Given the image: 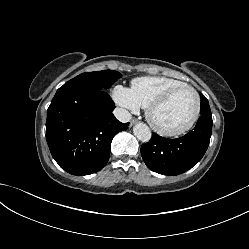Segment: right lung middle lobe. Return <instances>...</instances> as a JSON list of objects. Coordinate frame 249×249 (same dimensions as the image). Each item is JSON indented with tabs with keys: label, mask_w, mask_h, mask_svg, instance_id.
Masks as SVG:
<instances>
[{
	"label": "right lung middle lobe",
	"mask_w": 249,
	"mask_h": 249,
	"mask_svg": "<svg viewBox=\"0 0 249 249\" xmlns=\"http://www.w3.org/2000/svg\"><path fill=\"white\" fill-rule=\"evenodd\" d=\"M121 78V74L113 70H104L98 72L82 73L70 80V82H83L97 86L101 90L110 88L117 79Z\"/></svg>",
	"instance_id": "obj_1"
}]
</instances>
